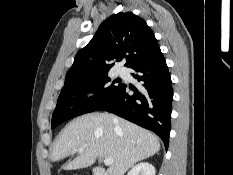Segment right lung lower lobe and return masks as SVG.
Wrapping results in <instances>:
<instances>
[{
  "label": "right lung lower lobe",
  "instance_id": "98d812e1",
  "mask_svg": "<svg viewBox=\"0 0 233 175\" xmlns=\"http://www.w3.org/2000/svg\"><path fill=\"white\" fill-rule=\"evenodd\" d=\"M134 78L142 82L140 88H129L123 84L110 101L98 110L112 112L141 127L156 133L166 150L169 145L170 119L173 89L170 73L164 56L159 52L153 58L132 67Z\"/></svg>",
  "mask_w": 233,
  "mask_h": 175
}]
</instances>
